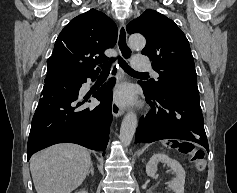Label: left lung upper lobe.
<instances>
[{"mask_svg": "<svg viewBox=\"0 0 237 193\" xmlns=\"http://www.w3.org/2000/svg\"><path fill=\"white\" fill-rule=\"evenodd\" d=\"M127 31L146 38L142 50L152 60L158 81L141 82L160 95L171 92L197 93V75L189 42L179 27L165 15L148 9L127 25Z\"/></svg>", "mask_w": 237, "mask_h": 193, "instance_id": "left-lung-upper-lobe-1", "label": "left lung upper lobe"}]
</instances>
